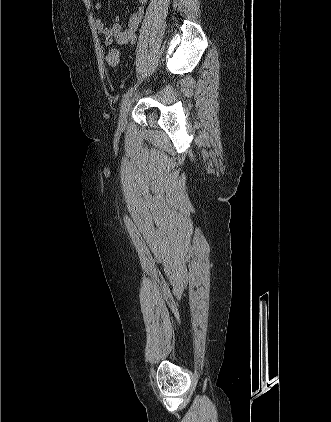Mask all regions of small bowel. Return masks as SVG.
I'll return each instance as SVG.
<instances>
[{"mask_svg":"<svg viewBox=\"0 0 331 422\" xmlns=\"http://www.w3.org/2000/svg\"><path fill=\"white\" fill-rule=\"evenodd\" d=\"M139 4L135 11L129 18L128 27L124 28L120 23V17H115V22L112 26H108L100 18L96 20V29L100 35L104 36L103 44L106 47L112 48V50L117 51V49L112 46L113 41L119 46H128L134 43L136 38V31L140 26L144 12L145 4L147 0H138ZM96 10L102 8L101 2H96L94 5ZM118 52V51H117Z\"/></svg>","mask_w":331,"mask_h":422,"instance_id":"obj_1","label":"small bowel"}]
</instances>
